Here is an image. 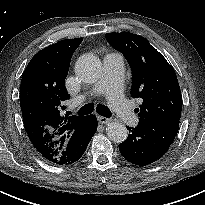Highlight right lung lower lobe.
I'll return each mask as SVG.
<instances>
[{"label": "right lung lower lobe", "mask_w": 205, "mask_h": 205, "mask_svg": "<svg viewBox=\"0 0 205 205\" xmlns=\"http://www.w3.org/2000/svg\"><path fill=\"white\" fill-rule=\"evenodd\" d=\"M96 130L97 121L95 116H87L85 123L70 135L61 157L55 164L69 165L79 160L86 151Z\"/></svg>", "instance_id": "right-lung-lower-lobe-1"}]
</instances>
